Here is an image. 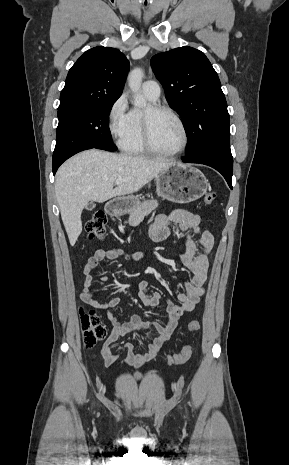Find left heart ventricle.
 <instances>
[{
    "instance_id": "b2bd125f",
    "label": "left heart ventricle",
    "mask_w": 289,
    "mask_h": 465,
    "mask_svg": "<svg viewBox=\"0 0 289 465\" xmlns=\"http://www.w3.org/2000/svg\"><path fill=\"white\" fill-rule=\"evenodd\" d=\"M151 134L155 147L160 151L173 152L182 146L181 127L175 118L168 113L151 115Z\"/></svg>"
}]
</instances>
